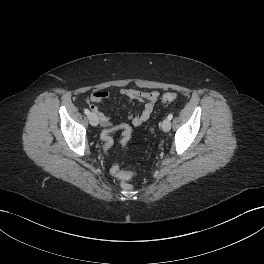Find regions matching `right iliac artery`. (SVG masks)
Masks as SVG:
<instances>
[{
    "mask_svg": "<svg viewBox=\"0 0 264 264\" xmlns=\"http://www.w3.org/2000/svg\"><path fill=\"white\" fill-rule=\"evenodd\" d=\"M84 113H85L86 115H89V114H90V111H89L88 109H85V110H84Z\"/></svg>",
    "mask_w": 264,
    "mask_h": 264,
    "instance_id": "right-iliac-artery-1",
    "label": "right iliac artery"
}]
</instances>
